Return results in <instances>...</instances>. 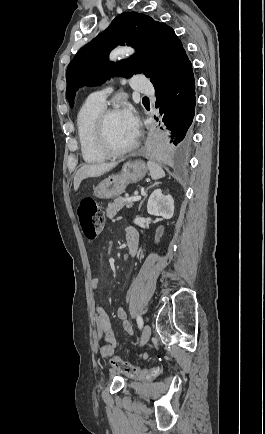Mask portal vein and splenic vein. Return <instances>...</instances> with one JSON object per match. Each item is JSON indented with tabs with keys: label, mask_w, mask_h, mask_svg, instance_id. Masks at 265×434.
<instances>
[{
	"label": "portal vein and splenic vein",
	"mask_w": 265,
	"mask_h": 434,
	"mask_svg": "<svg viewBox=\"0 0 265 434\" xmlns=\"http://www.w3.org/2000/svg\"><path fill=\"white\" fill-rule=\"evenodd\" d=\"M141 200V196H134V198H125V202H138Z\"/></svg>",
	"instance_id": "obj_1"
}]
</instances>
